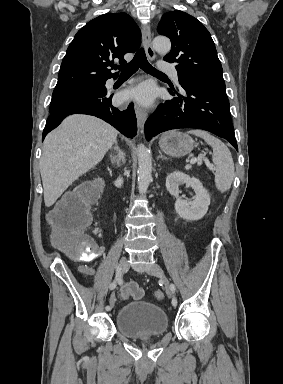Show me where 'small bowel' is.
I'll use <instances>...</instances> for the list:
<instances>
[{
    "label": "small bowel",
    "instance_id": "1",
    "mask_svg": "<svg viewBox=\"0 0 283 384\" xmlns=\"http://www.w3.org/2000/svg\"><path fill=\"white\" fill-rule=\"evenodd\" d=\"M97 253H98V251H97ZM79 271L85 277H90L95 273V270L93 268L87 266V265L80 266ZM128 284H135V283L131 282ZM128 284H126V285H128Z\"/></svg>",
    "mask_w": 283,
    "mask_h": 384
}]
</instances>
